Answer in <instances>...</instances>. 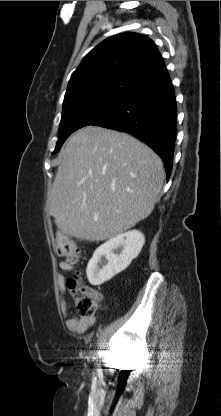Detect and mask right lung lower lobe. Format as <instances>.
I'll return each mask as SVG.
<instances>
[{
  "instance_id": "98d812e1",
  "label": "right lung lower lobe",
  "mask_w": 221,
  "mask_h": 416,
  "mask_svg": "<svg viewBox=\"0 0 221 416\" xmlns=\"http://www.w3.org/2000/svg\"><path fill=\"white\" fill-rule=\"evenodd\" d=\"M176 99L167 74L164 81L130 92L95 126L129 133L144 141L164 161L167 179L176 139Z\"/></svg>"
}]
</instances>
